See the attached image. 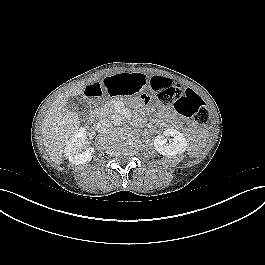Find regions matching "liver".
<instances>
[{
  "mask_svg": "<svg viewBox=\"0 0 265 265\" xmlns=\"http://www.w3.org/2000/svg\"><path fill=\"white\" fill-rule=\"evenodd\" d=\"M97 79H90L73 86L61 94L49 107L42 122V136L44 146L52 161L61 164L66 142L80 125L79 117L75 112L68 110L67 99L83 93L86 85Z\"/></svg>",
  "mask_w": 265,
  "mask_h": 265,
  "instance_id": "6515ba94",
  "label": "liver"
}]
</instances>
